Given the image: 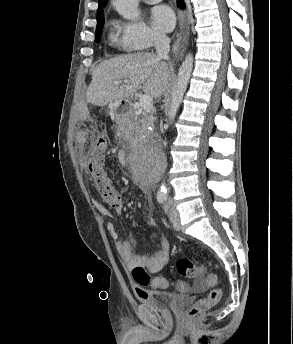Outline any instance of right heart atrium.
<instances>
[{"mask_svg":"<svg viewBox=\"0 0 293 344\" xmlns=\"http://www.w3.org/2000/svg\"><path fill=\"white\" fill-rule=\"evenodd\" d=\"M115 28L119 34L121 47L127 51L147 50L165 38L139 19L117 21Z\"/></svg>","mask_w":293,"mask_h":344,"instance_id":"d8ad5b80","label":"right heart atrium"}]
</instances>
